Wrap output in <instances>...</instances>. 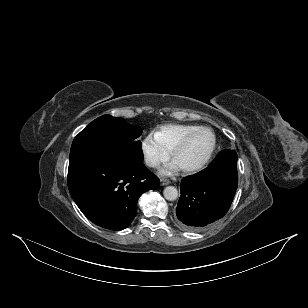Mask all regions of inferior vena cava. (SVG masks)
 <instances>
[{"instance_id":"602c4592","label":"inferior vena cava","mask_w":308,"mask_h":308,"mask_svg":"<svg viewBox=\"0 0 308 308\" xmlns=\"http://www.w3.org/2000/svg\"><path fill=\"white\" fill-rule=\"evenodd\" d=\"M146 163H147L148 166H151V167H154V166L157 165V161L152 160V159L151 160H147Z\"/></svg>"}]
</instances>
